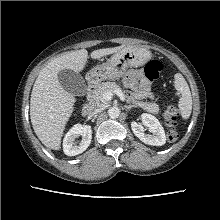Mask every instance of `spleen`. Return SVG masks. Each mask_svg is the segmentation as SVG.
<instances>
[{"label": "spleen", "mask_w": 220, "mask_h": 220, "mask_svg": "<svg viewBox=\"0 0 220 220\" xmlns=\"http://www.w3.org/2000/svg\"><path fill=\"white\" fill-rule=\"evenodd\" d=\"M175 89L181 94L178 102L180 114L183 119H188L192 110V97L186 80L180 73L175 74Z\"/></svg>", "instance_id": "spleen-1"}]
</instances>
